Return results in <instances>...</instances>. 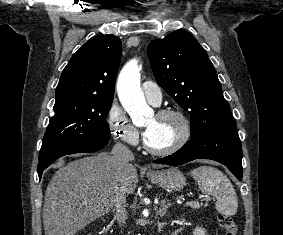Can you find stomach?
Returning <instances> with one entry per match:
<instances>
[{"instance_id": "obj_1", "label": "stomach", "mask_w": 283, "mask_h": 235, "mask_svg": "<svg viewBox=\"0 0 283 235\" xmlns=\"http://www.w3.org/2000/svg\"><path fill=\"white\" fill-rule=\"evenodd\" d=\"M147 177L155 185L174 191L183 189L186 184L183 173L174 167L148 172Z\"/></svg>"}]
</instances>
